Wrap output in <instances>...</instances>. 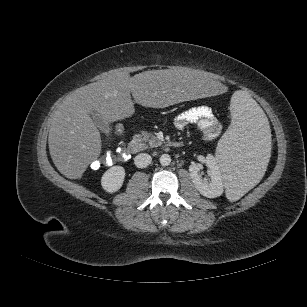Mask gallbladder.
<instances>
[{
    "label": "gallbladder",
    "instance_id": "obj_1",
    "mask_svg": "<svg viewBox=\"0 0 307 307\" xmlns=\"http://www.w3.org/2000/svg\"><path fill=\"white\" fill-rule=\"evenodd\" d=\"M90 117L92 118L94 124L106 135H111V128L107 121H105L102 116L96 111H92L90 113Z\"/></svg>",
    "mask_w": 307,
    "mask_h": 307
}]
</instances>
